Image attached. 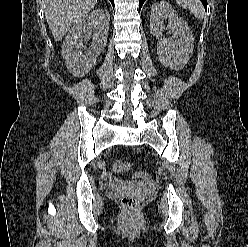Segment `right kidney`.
<instances>
[{
    "label": "right kidney",
    "instance_id": "1",
    "mask_svg": "<svg viewBox=\"0 0 248 247\" xmlns=\"http://www.w3.org/2000/svg\"><path fill=\"white\" fill-rule=\"evenodd\" d=\"M110 15L106 9H96L85 15L69 30L62 45V55L70 73L75 77L87 74L96 64V59L104 49L108 31ZM95 32L92 35V32ZM92 35L90 48L81 53L83 41H88Z\"/></svg>",
    "mask_w": 248,
    "mask_h": 247
}]
</instances>
